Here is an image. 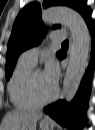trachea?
<instances>
[{"mask_svg": "<svg viewBox=\"0 0 95 130\" xmlns=\"http://www.w3.org/2000/svg\"><path fill=\"white\" fill-rule=\"evenodd\" d=\"M69 46V42L68 40H65L63 43H62V47H68Z\"/></svg>", "mask_w": 95, "mask_h": 130, "instance_id": "1", "label": "trachea"}]
</instances>
